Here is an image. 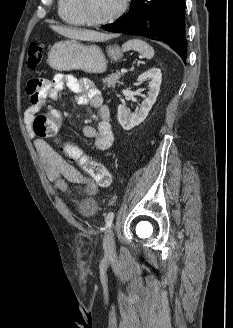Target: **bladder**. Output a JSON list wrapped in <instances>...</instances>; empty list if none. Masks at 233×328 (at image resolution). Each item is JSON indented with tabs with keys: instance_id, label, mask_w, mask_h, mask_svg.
<instances>
[{
	"instance_id": "bladder-1",
	"label": "bladder",
	"mask_w": 233,
	"mask_h": 328,
	"mask_svg": "<svg viewBox=\"0 0 233 328\" xmlns=\"http://www.w3.org/2000/svg\"><path fill=\"white\" fill-rule=\"evenodd\" d=\"M77 212L84 218H92L97 212V203L91 197L80 199L75 204Z\"/></svg>"
}]
</instances>
